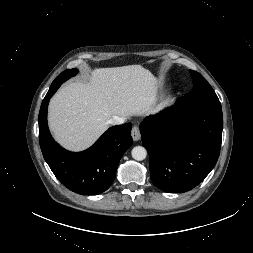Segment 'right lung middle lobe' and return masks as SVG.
Segmentation results:
<instances>
[{
    "instance_id": "right-lung-middle-lobe-1",
    "label": "right lung middle lobe",
    "mask_w": 253,
    "mask_h": 253,
    "mask_svg": "<svg viewBox=\"0 0 253 253\" xmlns=\"http://www.w3.org/2000/svg\"><path fill=\"white\" fill-rule=\"evenodd\" d=\"M78 73L77 69H68L59 74L56 79L53 81L49 90L54 89L55 87H59L63 82L68 80L70 77H73Z\"/></svg>"
}]
</instances>
